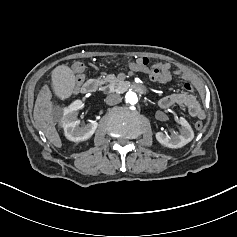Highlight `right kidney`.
Returning a JSON list of instances; mask_svg holds the SVG:
<instances>
[{"mask_svg":"<svg viewBox=\"0 0 237 237\" xmlns=\"http://www.w3.org/2000/svg\"><path fill=\"white\" fill-rule=\"evenodd\" d=\"M82 106L83 105L80 100L75 101L68 108V114L62 124L64 134L71 142H83L90 139L98 126L96 121H92L87 125H79L78 115Z\"/></svg>","mask_w":237,"mask_h":237,"instance_id":"ca27d5eb","label":"right kidney"}]
</instances>
